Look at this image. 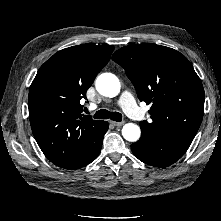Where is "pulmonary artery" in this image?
Instances as JSON below:
<instances>
[{"instance_id":"1","label":"pulmonary artery","mask_w":221,"mask_h":221,"mask_svg":"<svg viewBox=\"0 0 221 221\" xmlns=\"http://www.w3.org/2000/svg\"><path fill=\"white\" fill-rule=\"evenodd\" d=\"M120 102L128 115L135 119L142 117V113L140 112V109L136 105V102L130 92H124L121 95Z\"/></svg>"}]
</instances>
